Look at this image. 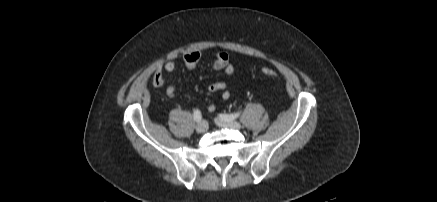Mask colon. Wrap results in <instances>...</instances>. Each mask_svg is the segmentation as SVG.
<instances>
[{
	"mask_svg": "<svg viewBox=\"0 0 437 202\" xmlns=\"http://www.w3.org/2000/svg\"><path fill=\"white\" fill-rule=\"evenodd\" d=\"M262 74L267 76V77H270V78L277 77V72L275 70H273L271 68H267V67L262 69Z\"/></svg>",
	"mask_w": 437,
	"mask_h": 202,
	"instance_id": "colon-1",
	"label": "colon"
}]
</instances>
